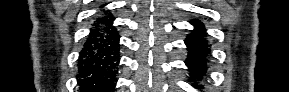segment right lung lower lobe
<instances>
[{
    "instance_id": "right-lung-lower-lobe-1",
    "label": "right lung lower lobe",
    "mask_w": 289,
    "mask_h": 92,
    "mask_svg": "<svg viewBox=\"0 0 289 92\" xmlns=\"http://www.w3.org/2000/svg\"><path fill=\"white\" fill-rule=\"evenodd\" d=\"M114 18L96 17L79 58L81 92H112L120 60L119 35L112 23Z\"/></svg>"
}]
</instances>
